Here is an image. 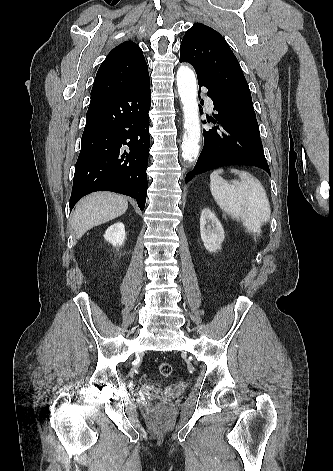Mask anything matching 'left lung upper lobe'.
Wrapping results in <instances>:
<instances>
[{
    "label": "left lung upper lobe",
    "mask_w": 333,
    "mask_h": 471,
    "mask_svg": "<svg viewBox=\"0 0 333 471\" xmlns=\"http://www.w3.org/2000/svg\"><path fill=\"white\" fill-rule=\"evenodd\" d=\"M180 62L190 63L198 79L216 89L231 113L259 130L248 83L221 34L202 23H195L183 37Z\"/></svg>",
    "instance_id": "left-lung-upper-lobe-1"
}]
</instances>
